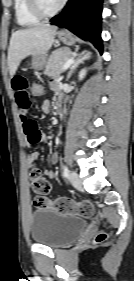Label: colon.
I'll use <instances>...</instances> for the list:
<instances>
[{"label": "colon", "mask_w": 134, "mask_h": 281, "mask_svg": "<svg viewBox=\"0 0 134 281\" xmlns=\"http://www.w3.org/2000/svg\"><path fill=\"white\" fill-rule=\"evenodd\" d=\"M45 87L41 81H33L30 84V93L33 97H41L44 94ZM30 183L33 191L38 195L34 199V206L37 209H53L62 214H75L82 217H92L94 215V207L88 201H74L69 198L60 197L51 201L44 194L50 191L49 182L42 177L39 169H34L30 174ZM106 235L101 233L97 237V241L104 240Z\"/></svg>", "instance_id": "5ec220e1"}]
</instances>
